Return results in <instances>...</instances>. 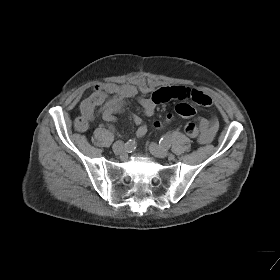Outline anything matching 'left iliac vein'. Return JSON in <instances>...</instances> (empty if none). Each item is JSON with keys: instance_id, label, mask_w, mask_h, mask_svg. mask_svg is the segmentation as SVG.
Returning a JSON list of instances; mask_svg holds the SVG:
<instances>
[{"instance_id": "1", "label": "left iliac vein", "mask_w": 280, "mask_h": 280, "mask_svg": "<svg viewBox=\"0 0 280 280\" xmlns=\"http://www.w3.org/2000/svg\"><path fill=\"white\" fill-rule=\"evenodd\" d=\"M149 150L155 157L158 158H165L169 154L168 150L165 147L160 146L156 143H151L149 145Z\"/></svg>"}]
</instances>
